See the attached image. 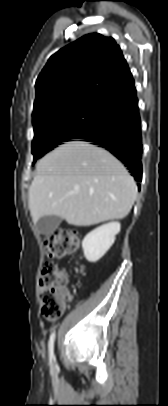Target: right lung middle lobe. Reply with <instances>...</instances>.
I'll list each match as a JSON object with an SVG mask.
<instances>
[{
  "label": "right lung middle lobe",
  "mask_w": 168,
  "mask_h": 406,
  "mask_svg": "<svg viewBox=\"0 0 168 406\" xmlns=\"http://www.w3.org/2000/svg\"><path fill=\"white\" fill-rule=\"evenodd\" d=\"M106 116L105 100H83L42 117L33 123L34 163L44 154L84 135Z\"/></svg>",
  "instance_id": "1"
}]
</instances>
